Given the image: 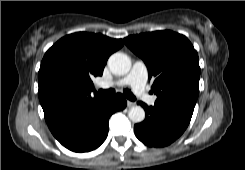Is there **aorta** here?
Instances as JSON below:
<instances>
[{
	"instance_id": "762f6f07",
	"label": "aorta",
	"mask_w": 245,
	"mask_h": 170,
	"mask_svg": "<svg viewBox=\"0 0 245 170\" xmlns=\"http://www.w3.org/2000/svg\"><path fill=\"white\" fill-rule=\"evenodd\" d=\"M108 67L115 75H125L130 71L131 60L121 52L112 54L108 59ZM128 117L134 123H140L145 119V111L140 106H133L128 111Z\"/></svg>"
}]
</instances>
